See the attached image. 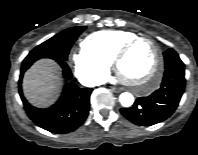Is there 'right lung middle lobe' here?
<instances>
[{"mask_svg": "<svg viewBox=\"0 0 198 155\" xmlns=\"http://www.w3.org/2000/svg\"><path fill=\"white\" fill-rule=\"evenodd\" d=\"M86 26L68 28L34 48L23 63L40 58L67 60L71 46Z\"/></svg>", "mask_w": 198, "mask_h": 155, "instance_id": "1", "label": "right lung middle lobe"}]
</instances>
